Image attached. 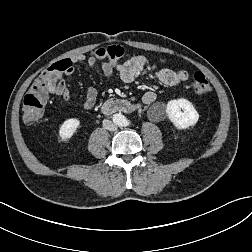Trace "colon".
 I'll return each instance as SVG.
<instances>
[{"mask_svg":"<svg viewBox=\"0 0 252 252\" xmlns=\"http://www.w3.org/2000/svg\"><path fill=\"white\" fill-rule=\"evenodd\" d=\"M126 56L124 50L119 46L101 47L93 52V57L96 60L111 65L119 64ZM69 68L70 63L68 60L56 62L41 72L33 82L30 91L23 99L22 113L23 121L26 124L36 123L42 118L45 111L49 87L58 83L61 74ZM191 87L198 95H206L211 91L208 80L201 72L194 73L191 76Z\"/></svg>","mask_w":252,"mask_h":252,"instance_id":"1","label":"colon"}]
</instances>
